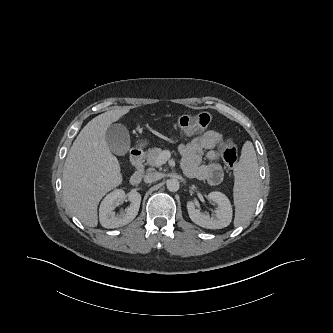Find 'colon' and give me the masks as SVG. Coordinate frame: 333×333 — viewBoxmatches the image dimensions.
Returning <instances> with one entry per match:
<instances>
[{
    "instance_id": "colon-1",
    "label": "colon",
    "mask_w": 333,
    "mask_h": 333,
    "mask_svg": "<svg viewBox=\"0 0 333 333\" xmlns=\"http://www.w3.org/2000/svg\"><path fill=\"white\" fill-rule=\"evenodd\" d=\"M211 123L207 113L183 115L178 118L177 125L185 134L205 130ZM221 157L228 168H233L238 159L237 147L231 138L223 139L218 144Z\"/></svg>"
}]
</instances>
